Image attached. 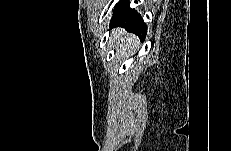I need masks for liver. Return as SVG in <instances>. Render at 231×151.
Listing matches in <instances>:
<instances>
[{"mask_svg":"<svg viewBox=\"0 0 231 151\" xmlns=\"http://www.w3.org/2000/svg\"><path fill=\"white\" fill-rule=\"evenodd\" d=\"M110 42L116 54L122 58H128L136 52L139 39L135 35L126 33L122 28H116L110 34Z\"/></svg>","mask_w":231,"mask_h":151,"instance_id":"obj_1","label":"liver"}]
</instances>
